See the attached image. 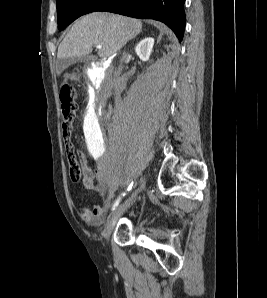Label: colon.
<instances>
[{
    "label": "colon",
    "instance_id": "5ec220e1",
    "mask_svg": "<svg viewBox=\"0 0 267 298\" xmlns=\"http://www.w3.org/2000/svg\"><path fill=\"white\" fill-rule=\"evenodd\" d=\"M60 100L62 105L63 122V138L66 157L69 167V176L72 182H79L82 178V167L77 160L73 145L70 141V125L75 115L76 101L72 87L64 85L60 92Z\"/></svg>",
    "mask_w": 267,
    "mask_h": 298
}]
</instances>
